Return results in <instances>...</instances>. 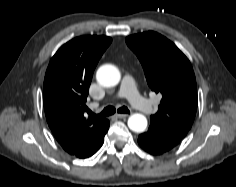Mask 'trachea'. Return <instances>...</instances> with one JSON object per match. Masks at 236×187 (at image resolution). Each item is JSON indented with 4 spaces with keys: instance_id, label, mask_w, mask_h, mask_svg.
<instances>
[{
    "instance_id": "1",
    "label": "trachea",
    "mask_w": 236,
    "mask_h": 187,
    "mask_svg": "<svg viewBox=\"0 0 236 187\" xmlns=\"http://www.w3.org/2000/svg\"><path fill=\"white\" fill-rule=\"evenodd\" d=\"M115 112H116V109L113 106H108V107L104 108V110L98 116L99 117H106V116H110V115L114 114ZM117 112L118 113H126V114L130 113L129 109L125 106L120 107L117 110ZM88 113H89L90 117L95 116V114L89 110H88Z\"/></svg>"
}]
</instances>
